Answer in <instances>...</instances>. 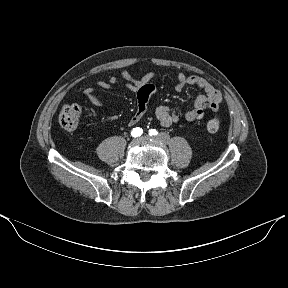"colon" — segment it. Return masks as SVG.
Segmentation results:
<instances>
[{"mask_svg":"<svg viewBox=\"0 0 288 288\" xmlns=\"http://www.w3.org/2000/svg\"><path fill=\"white\" fill-rule=\"evenodd\" d=\"M81 117V107L76 103L65 104L58 116L60 126L66 131L77 128ZM221 119L216 117L207 122L206 129L209 133H215L220 127Z\"/></svg>","mask_w":288,"mask_h":288,"instance_id":"1","label":"colon"}]
</instances>
